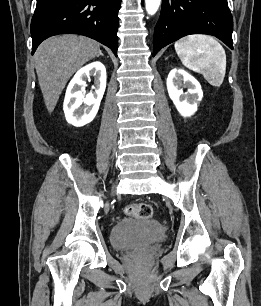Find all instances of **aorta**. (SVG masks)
Instances as JSON below:
<instances>
[{"label":"aorta","instance_id":"1","mask_svg":"<svg viewBox=\"0 0 261 306\" xmlns=\"http://www.w3.org/2000/svg\"><path fill=\"white\" fill-rule=\"evenodd\" d=\"M160 3L161 0H145V7L148 14L154 15L160 6Z\"/></svg>","mask_w":261,"mask_h":306}]
</instances>
